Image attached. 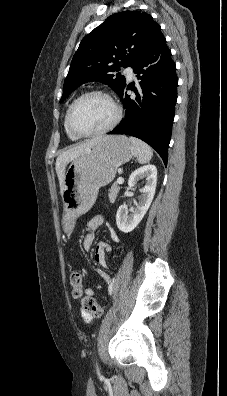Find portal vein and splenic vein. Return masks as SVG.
<instances>
[{"instance_id":"1","label":"portal vein and splenic vein","mask_w":227,"mask_h":396,"mask_svg":"<svg viewBox=\"0 0 227 396\" xmlns=\"http://www.w3.org/2000/svg\"><path fill=\"white\" fill-rule=\"evenodd\" d=\"M123 182H124V179H123L122 177H119V178L117 179V183H118V184H123Z\"/></svg>"}]
</instances>
